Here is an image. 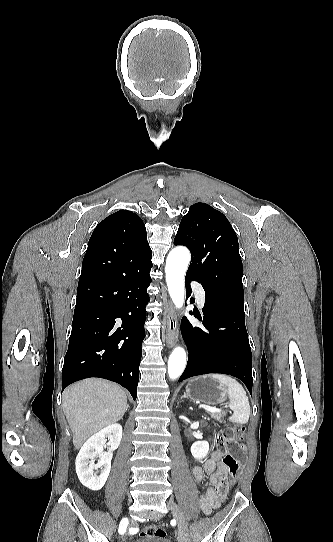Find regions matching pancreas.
Listing matches in <instances>:
<instances>
[{
  "mask_svg": "<svg viewBox=\"0 0 333 542\" xmlns=\"http://www.w3.org/2000/svg\"><path fill=\"white\" fill-rule=\"evenodd\" d=\"M210 418H214L216 422H220V424H223L224 422V416H226V412H215V414H212V412H209Z\"/></svg>",
  "mask_w": 333,
  "mask_h": 542,
  "instance_id": "cf45deb5",
  "label": "pancreas"
}]
</instances>
